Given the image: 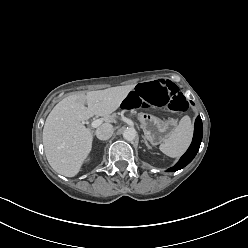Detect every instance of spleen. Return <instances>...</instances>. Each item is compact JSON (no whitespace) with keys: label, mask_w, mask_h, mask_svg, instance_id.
Masks as SVG:
<instances>
[{"label":"spleen","mask_w":248,"mask_h":248,"mask_svg":"<svg viewBox=\"0 0 248 248\" xmlns=\"http://www.w3.org/2000/svg\"><path fill=\"white\" fill-rule=\"evenodd\" d=\"M192 135L193 127L191 119L189 116H184L168 139L160 145V150L169 157H179L189 147Z\"/></svg>","instance_id":"obj_1"}]
</instances>
